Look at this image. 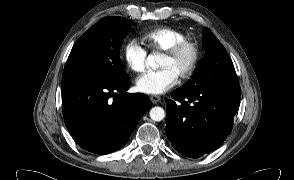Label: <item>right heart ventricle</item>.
I'll use <instances>...</instances> for the list:
<instances>
[{"instance_id": "e07e8e85", "label": "right heart ventricle", "mask_w": 294, "mask_h": 180, "mask_svg": "<svg viewBox=\"0 0 294 180\" xmlns=\"http://www.w3.org/2000/svg\"><path fill=\"white\" fill-rule=\"evenodd\" d=\"M187 37L182 31L173 27H161L140 35V41L146 49L164 52L178 41Z\"/></svg>"}]
</instances>
